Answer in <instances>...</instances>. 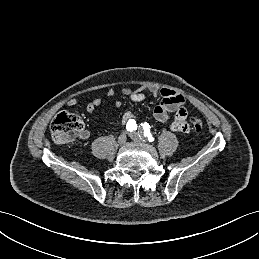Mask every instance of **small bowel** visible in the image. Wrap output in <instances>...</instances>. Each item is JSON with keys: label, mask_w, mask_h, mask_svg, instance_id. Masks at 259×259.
Instances as JSON below:
<instances>
[{"label": "small bowel", "mask_w": 259, "mask_h": 259, "mask_svg": "<svg viewBox=\"0 0 259 259\" xmlns=\"http://www.w3.org/2000/svg\"><path fill=\"white\" fill-rule=\"evenodd\" d=\"M145 91H148L152 96H161V101L153 110L154 118L161 123L167 122L170 116V113H173V120L170 124V128L175 132L187 133L190 130L189 123L187 122V109L185 107V97L169 88H162L160 90L149 87L144 89L142 87L139 88H131L125 87L122 89V92L125 95L130 96L131 101L133 103H141L145 100L146 94ZM114 95V90L109 89L107 91V96L112 97ZM102 103L101 98H96L89 102L86 106V110L88 113L94 112ZM68 104L73 106L76 104L75 99H71ZM133 118V114L131 111H126L122 116L123 123H126ZM89 137V132L87 130H83L80 133V138L86 139Z\"/></svg>", "instance_id": "obj_1"}]
</instances>
